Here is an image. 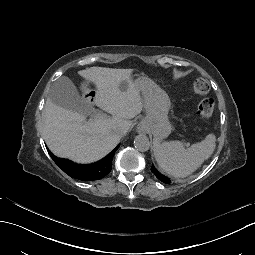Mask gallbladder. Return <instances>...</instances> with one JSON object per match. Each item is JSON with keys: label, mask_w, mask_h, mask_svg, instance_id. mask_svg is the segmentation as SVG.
I'll list each match as a JSON object with an SVG mask.
<instances>
[{"label": "gallbladder", "mask_w": 255, "mask_h": 255, "mask_svg": "<svg viewBox=\"0 0 255 255\" xmlns=\"http://www.w3.org/2000/svg\"><path fill=\"white\" fill-rule=\"evenodd\" d=\"M48 96L55 105L80 114L85 115L92 110L91 103L80 97L76 86L66 76L59 77L52 84Z\"/></svg>", "instance_id": "obj_1"}]
</instances>
